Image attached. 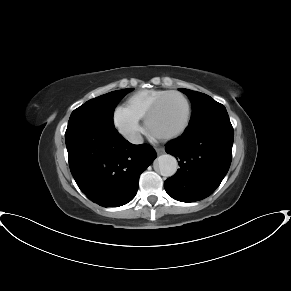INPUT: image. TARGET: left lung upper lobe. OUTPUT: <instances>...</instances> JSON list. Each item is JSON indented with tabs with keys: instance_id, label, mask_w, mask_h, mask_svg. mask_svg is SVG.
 Here are the masks:
<instances>
[{
	"instance_id": "left-lung-upper-lobe-1",
	"label": "left lung upper lobe",
	"mask_w": 291,
	"mask_h": 291,
	"mask_svg": "<svg viewBox=\"0 0 291 291\" xmlns=\"http://www.w3.org/2000/svg\"><path fill=\"white\" fill-rule=\"evenodd\" d=\"M180 91L185 93L192 102V116L188 127H193L219 113L227 112L222 104L206 94L184 88Z\"/></svg>"
}]
</instances>
